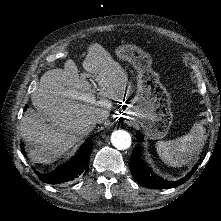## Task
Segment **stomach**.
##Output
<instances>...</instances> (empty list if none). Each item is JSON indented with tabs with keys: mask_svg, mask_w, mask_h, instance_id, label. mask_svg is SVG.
Masks as SVG:
<instances>
[{
	"mask_svg": "<svg viewBox=\"0 0 221 221\" xmlns=\"http://www.w3.org/2000/svg\"><path fill=\"white\" fill-rule=\"evenodd\" d=\"M119 57L133 63L138 73L136 96L128 106L125 118L140 125L150 139L164 138L173 121L171 98L153 72L154 58L132 44H123L119 48Z\"/></svg>",
	"mask_w": 221,
	"mask_h": 221,
	"instance_id": "0dacf381",
	"label": "stomach"
}]
</instances>
